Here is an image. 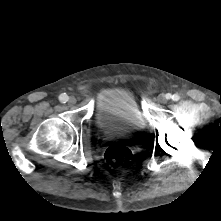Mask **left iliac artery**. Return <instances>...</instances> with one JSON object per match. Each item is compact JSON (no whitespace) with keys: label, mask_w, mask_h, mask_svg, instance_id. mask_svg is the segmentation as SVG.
Here are the masks:
<instances>
[{"label":"left iliac artery","mask_w":221,"mask_h":221,"mask_svg":"<svg viewBox=\"0 0 221 221\" xmlns=\"http://www.w3.org/2000/svg\"><path fill=\"white\" fill-rule=\"evenodd\" d=\"M166 96H167V99L172 98V100L174 101H178L180 99L179 95L177 94H174L172 96L170 94H166Z\"/></svg>","instance_id":"1"}]
</instances>
